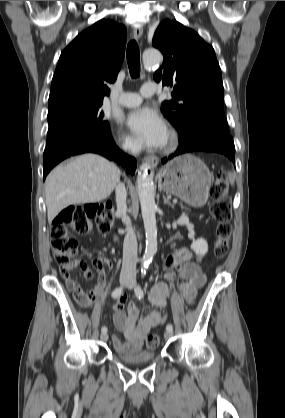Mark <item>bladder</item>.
I'll use <instances>...</instances> for the list:
<instances>
[{"label": "bladder", "instance_id": "1", "mask_svg": "<svg viewBox=\"0 0 285 418\" xmlns=\"http://www.w3.org/2000/svg\"><path fill=\"white\" fill-rule=\"evenodd\" d=\"M114 355L123 363L129 365H142L151 363L155 360V353L150 352H121L114 350Z\"/></svg>", "mask_w": 285, "mask_h": 418}]
</instances>
